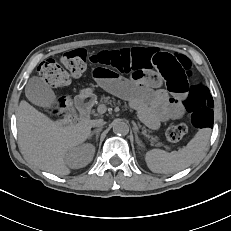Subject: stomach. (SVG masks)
Masks as SVG:
<instances>
[{
	"label": "stomach",
	"instance_id": "obj_1",
	"mask_svg": "<svg viewBox=\"0 0 231 231\" xmlns=\"http://www.w3.org/2000/svg\"><path fill=\"white\" fill-rule=\"evenodd\" d=\"M83 97H89L92 96V91L90 89H86L82 92Z\"/></svg>",
	"mask_w": 231,
	"mask_h": 231
}]
</instances>
